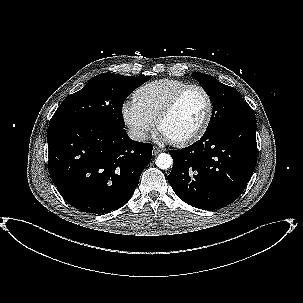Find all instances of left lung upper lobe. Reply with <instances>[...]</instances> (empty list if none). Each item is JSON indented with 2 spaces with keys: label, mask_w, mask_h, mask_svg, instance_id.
<instances>
[{
  "label": "left lung upper lobe",
  "mask_w": 303,
  "mask_h": 303,
  "mask_svg": "<svg viewBox=\"0 0 303 303\" xmlns=\"http://www.w3.org/2000/svg\"><path fill=\"white\" fill-rule=\"evenodd\" d=\"M191 76L199 81L210 96L213 105L212 116L206 132L232 123L255 119L254 111L235 88L224 85L204 73L193 72Z\"/></svg>",
  "instance_id": "obj_1"
}]
</instances>
